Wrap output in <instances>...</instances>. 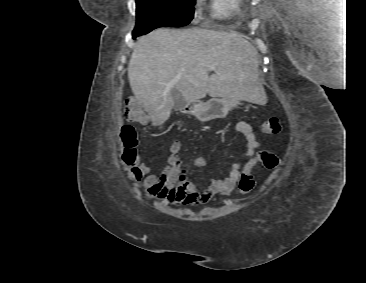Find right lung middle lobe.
Segmentation results:
<instances>
[{
	"label": "right lung middle lobe",
	"mask_w": 366,
	"mask_h": 283,
	"mask_svg": "<svg viewBox=\"0 0 366 283\" xmlns=\"http://www.w3.org/2000/svg\"><path fill=\"white\" fill-rule=\"evenodd\" d=\"M195 0H136L137 22L133 34H147L158 27H181L190 23Z\"/></svg>",
	"instance_id": "1"
}]
</instances>
